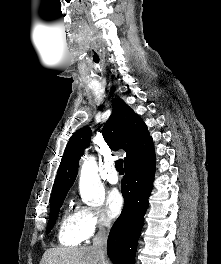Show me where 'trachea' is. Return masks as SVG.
Listing matches in <instances>:
<instances>
[{
	"instance_id": "trachea-1",
	"label": "trachea",
	"mask_w": 221,
	"mask_h": 264,
	"mask_svg": "<svg viewBox=\"0 0 221 264\" xmlns=\"http://www.w3.org/2000/svg\"><path fill=\"white\" fill-rule=\"evenodd\" d=\"M115 168L119 172V174H124V169H123V160L119 159L115 163Z\"/></svg>"
}]
</instances>
